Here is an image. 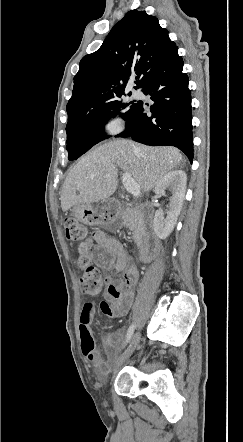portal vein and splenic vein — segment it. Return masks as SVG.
Returning a JSON list of instances; mask_svg holds the SVG:
<instances>
[{
  "mask_svg": "<svg viewBox=\"0 0 243 442\" xmlns=\"http://www.w3.org/2000/svg\"><path fill=\"white\" fill-rule=\"evenodd\" d=\"M122 182L124 187L133 196H138L140 194V187L137 182L131 177L130 173H124L122 177Z\"/></svg>",
  "mask_w": 243,
  "mask_h": 442,
  "instance_id": "portal-vein-and-splenic-vein-1",
  "label": "portal vein and splenic vein"
}]
</instances>
